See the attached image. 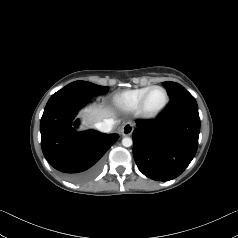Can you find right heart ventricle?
<instances>
[{"label":"right heart ventricle","instance_id":"e07e8e85","mask_svg":"<svg viewBox=\"0 0 238 238\" xmlns=\"http://www.w3.org/2000/svg\"><path fill=\"white\" fill-rule=\"evenodd\" d=\"M149 88L150 86H145L119 93L114 97V104L123 111H136L141 98Z\"/></svg>","mask_w":238,"mask_h":238}]
</instances>
